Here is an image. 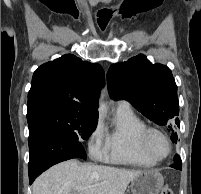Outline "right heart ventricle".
Here are the masks:
<instances>
[{"label": "right heart ventricle", "mask_w": 201, "mask_h": 194, "mask_svg": "<svg viewBox=\"0 0 201 194\" xmlns=\"http://www.w3.org/2000/svg\"><path fill=\"white\" fill-rule=\"evenodd\" d=\"M145 126L129 106L119 105L110 126H102L105 159L119 164L153 166L156 162L142 152L139 144L140 133Z\"/></svg>", "instance_id": "e07e8e85"}]
</instances>
